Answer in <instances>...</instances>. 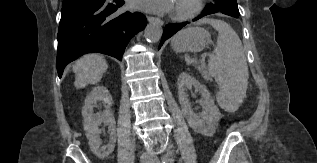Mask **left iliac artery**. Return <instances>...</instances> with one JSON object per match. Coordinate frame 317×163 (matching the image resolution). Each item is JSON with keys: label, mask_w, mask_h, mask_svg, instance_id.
<instances>
[{"label": "left iliac artery", "mask_w": 317, "mask_h": 163, "mask_svg": "<svg viewBox=\"0 0 317 163\" xmlns=\"http://www.w3.org/2000/svg\"><path fill=\"white\" fill-rule=\"evenodd\" d=\"M169 161H171V160H169L168 157H164L162 163H169Z\"/></svg>", "instance_id": "44dca946"}]
</instances>
